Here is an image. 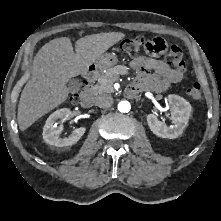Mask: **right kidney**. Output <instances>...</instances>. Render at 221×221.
<instances>
[{
  "label": "right kidney",
  "mask_w": 221,
  "mask_h": 221,
  "mask_svg": "<svg viewBox=\"0 0 221 221\" xmlns=\"http://www.w3.org/2000/svg\"><path fill=\"white\" fill-rule=\"evenodd\" d=\"M70 109L62 108L52 113L43 127V139L44 141L53 146L64 147L75 144L83 136L86 131L85 127H80L72 131L67 137H60L63 127L57 126V122H65L70 117Z\"/></svg>",
  "instance_id": "ca27d5eb"
}]
</instances>
